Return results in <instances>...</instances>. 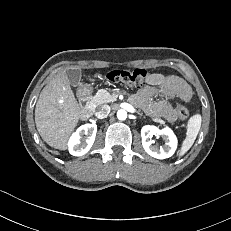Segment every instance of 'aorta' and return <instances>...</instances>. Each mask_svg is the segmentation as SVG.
<instances>
[{
    "label": "aorta",
    "mask_w": 231,
    "mask_h": 231,
    "mask_svg": "<svg viewBox=\"0 0 231 231\" xmlns=\"http://www.w3.org/2000/svg\"><path fill=\"white\" fill-rule=\"evenodd\" d=\"M117 118L119 120H125L127 118V112L123 109L117 111Z\"/></svg>",
    "instance_id": "762f6f07"
}]
</instances>
